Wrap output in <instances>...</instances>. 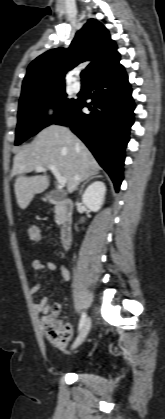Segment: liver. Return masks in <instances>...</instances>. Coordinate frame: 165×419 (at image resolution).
Masks as SVG:
<instances>
[{"instance_id": "6515ba94", "label": "liver", "mask_w": 165, "mask_h": 419, "mask_svg": "<svg viewBox=\"0 0 165 419\" xmlns=\"http://www.w3.org/2000/svg\"><path fill=\"white\" fill-rule=\"evenodd\" d=\"M49 165L66 178L67 192L76 190L80 182L96 175L101 169L86 145L68 128L51 125L37 134L31 144L14 157L11 177L15 179V194L21 209L27 208L35 194L49 186L45 173ZM37 166H43V175L25 176Z\"/></svg>"}]
</instances>
